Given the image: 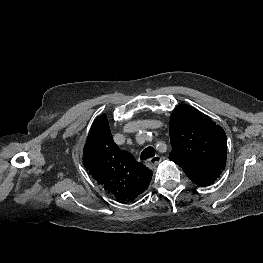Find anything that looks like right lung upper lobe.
<instances>
[{"mask_svg": "<svg viewBox=\"0 0 263 263\" xmlns=\"http://www.w3.org/2000/svg\"><path fill=\"white\" fill-rule=\"evenodd\" d=\"M83 164L105 191L122 201H131L143 193L152 178L149 168L114 143L105 114L90 129Z\"/></svg>", "mask_w": 263, "mask_h": 263, "instance_id": "1", "label": "right lung upper lobe"}]
</instances>
